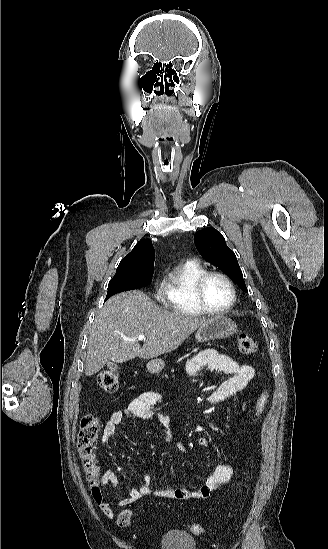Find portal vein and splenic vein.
<instances>
[{
    "instance_id": "portal-vein-and-splenic-vein-1",
    "label": "portal vein and splenic vein",
    "mask_w": 328,
    "mask_h": 549,
    "mask_svg": "<svg viewBox=\"0 0 328 549\" xmlns=\"http://www.w3.org/2000/svg\"><path fill=\"white\" fill-rule=\"evenodd\" d=\"M143 339H145V335H139L137 339H129V341H143Z\"/></svg>"
}]
</instances>
